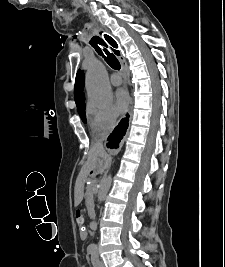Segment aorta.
<instances>
[{"instance_id": "762f6f07", "label": "aorta", "mask_w": 225, "mask_h": 267, "mask_svg": "<svg viewBox=\"0 0 225 267\" xmlns=\"http://www.w3.org/2000/svg\"><path fill=\"white\" fill-rule=\"evenodd\" d=\"M86 88L89 103L95 106H106L112 99L111 88L107 81V72L103 63L92 62L86 73ZM112 185V176L104 175L98 186L97 198L99 202L105 200ZM96 248V245H92Z\"/></svg>"}]
</instances>
